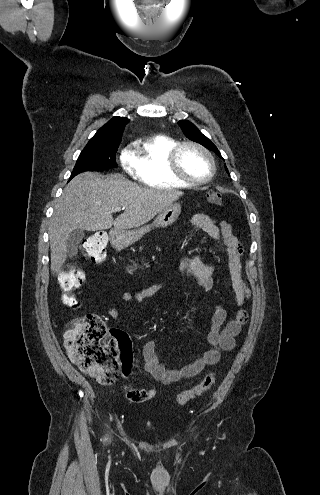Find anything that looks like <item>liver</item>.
<instances>
[{"label":"liver","mask_w":320,"mask_h":495,"mask_svg":"<svg viewBox=\"0 0 320 495\" xmlns=\"http://www.w3.org/2000/svg\"><path fill=\"white\" fill-rule=\"evenodd\" d=\"M182 195L181 191L140 187L120 174L101 178L86 172L76 176L65 187L50 221L51 271H61L68 254L66 240L73 230L100 231L114 226L121 231L140 227ZM115 207L125 211L114 220Z\"/></svg>","instance_id":"6515ba94"}]
</instances>
